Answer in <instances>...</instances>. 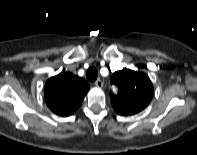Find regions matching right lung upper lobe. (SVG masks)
Segmentation results:
<instances>
[{"label":"right lung upper lobe","instance_id":"obj_1","mask_svg":"<svg viewBox=\"0 0 197 155\" xmlns=\"http://www.w3.org/2000/svg\"><path fill=\"white\" fill-rule=\"evenodd\" d=\"M88 91L89 85L84 79L61 72L46 82L45 100L55 114L70 116L79 108Z\"/></svg>","mask_w":197,"mask_h":155}]
</instances>
